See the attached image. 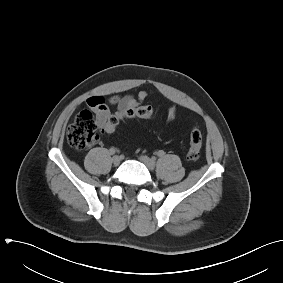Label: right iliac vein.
<instances>
[{"mask_svg": "<svg viewBox=\"0 0 283 283\" xmlns=\"http://www.w3.org/2000/svg\"><path fill=\"white\" fill-rule=\"evenodd\" d=\"M121 162V158L117 155L113 156L112 158V163L114 166H118Z\"/></svg>", "mask_w": 283, "mask_h": 283, "instance_id": "obj_1", "label": "right iliac vein"}]
</instances>
